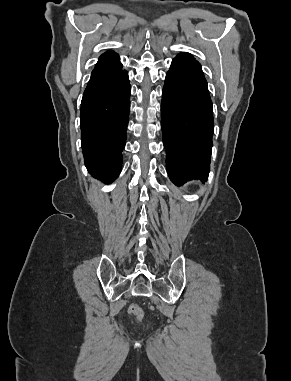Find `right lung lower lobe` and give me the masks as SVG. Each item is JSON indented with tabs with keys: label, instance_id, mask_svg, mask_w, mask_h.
Wrapping results in <instances>:
<instances>
[{
	"label": "right lung lower lobe",
	"instance_id": "right-lung-lower-lobe-1",
	"mask_svg": "<svg viewBox=\"0 0 291 381\" xmlns=\"http://www.w3.org/2000/svg\"><path fill=\"white\" fill-rule=\"evenodd\" d=\"M130 109L128 73L117 53L102 54L84 91L81 112V146L89 173L104 183L121 171L122 151Z\"/></svg>",
	"mask_w": 291,
	"mask_h": 381
}]
</instances>
